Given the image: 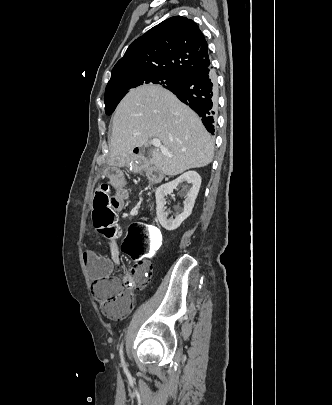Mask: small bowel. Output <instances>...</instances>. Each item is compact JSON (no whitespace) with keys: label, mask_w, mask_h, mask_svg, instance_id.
<instances>
[{"label":"small bowel","mask_w":332,"mask_h":405,"mask_svg":"<svg viewBox=\"0 0 332 405\" xmlns=\"http://www.w3.org/2000/svg\"><path fill=\"white\" fill-rule=\"evenodd\" d=\"M106 177H111L110 185L115 190L112 193L110 204L112 211H115L116 215H127L128 208L125 206L128 199L127 190L122 177H127V168H106ZM108 243L111 249V256H103L92 250H85L83 252V259L90 276L96 281L102 277L107 276L114 266H119L118 248L114 239H109ZM131 275H124L123 279L129 281ZM132 307V301L129 300L125 310L115 316L117 317L127 313Z\"/></svg>","instance_id":"obj_1"}]
</instances>
